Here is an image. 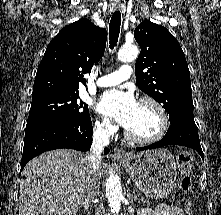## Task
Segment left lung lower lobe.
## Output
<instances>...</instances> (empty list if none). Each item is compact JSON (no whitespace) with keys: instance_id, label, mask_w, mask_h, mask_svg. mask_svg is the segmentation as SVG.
I'll list each match as a JSON object with an SVG mask.
<instances>
[{"instance_id":"left-lung-lower-lobe-1","label":"left lung lower lobe","mask_w":221,"mask_h":215,"mask_svg":"<svg viewBox=\"0 0 221 215\" xmlns=\"http://www.w3.org/2000/svg\"><path fill=\"white\" fill-rule=\"evenodd\" d=\"M166 145H181L195 149L203 158V152L195 123L171 124L166 135L158 142L149 146L136 148L138 151L156 149Z\"/></svg>"}]
</instances>
